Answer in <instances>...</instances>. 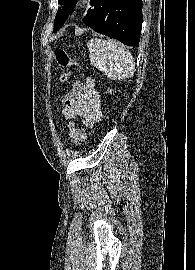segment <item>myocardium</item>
<instances>
[{
  "instance_id": "f54148a6",
  "label": "myocardium",
  "mask_w": 195,
  "mask_h": 270,
  "mask_svg": "<svg viewBox=\"0 0 195 270\" xmlns=\"http://www.w3.org/2000/svg\"><path fill=\"white\" fill-rule=\"evenodd\" d=\"M74 4L76 8L81 9L87 5V0H75Z\"/></svg>"
}]
</instances>
